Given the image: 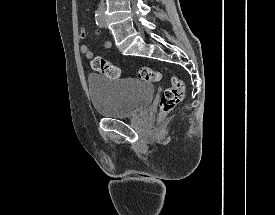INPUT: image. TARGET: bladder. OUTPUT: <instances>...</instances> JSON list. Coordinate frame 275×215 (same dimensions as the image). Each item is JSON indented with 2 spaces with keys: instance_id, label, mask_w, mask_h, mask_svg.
Segmentation results:
<instances>
[{
  "instance_id": "31cf9c89",
  "label": "bladder",
  "mask_w": 275,
  "mask_h": 215,
  "mask_svg": "<svg viewBox=\"0 0 275 215\" xmlns=\"http://www.w3.org/2000/svg\"><path fill=\"white\" fill-rule=\"evenodd\" d=\"M89 94L94 110L105 117H132L150 104L154 86L144 80H111L101 75L88 76Z\"/></svg>"
}]
</instances>
